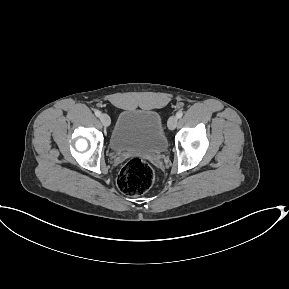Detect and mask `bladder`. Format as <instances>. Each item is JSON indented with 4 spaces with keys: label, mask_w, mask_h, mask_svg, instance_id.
<instances>
[{
    "label": "bladder",
    "mask_w": 289,
    "mask_h": 289,
    "mask_svg": "<svg viewBox=\"0 0 289 289\" xmlns=\"http://www.w3.org/2000/svg\"><path fill=\"white\" fill-rule=\"evenodd\" d=\"M114 152H139L161 155L168 148V139L160 115L148 109L123 110L109 138Z\"/></svg>",
    "instance_id": "31cf9c89"
}]
</instances>
